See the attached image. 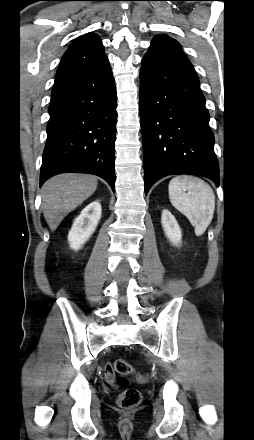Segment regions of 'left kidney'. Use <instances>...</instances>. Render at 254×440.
<instances>
[{"instance_id": "obj_1", "label": "left kidney", "mask_w": 254, "mask_h": 440, "mask_svg": "<svg viewBox=\"0 0 254 440\" xmlns=\"http://www.w3.org/2000/svg\"><path fill=\"white\" fill-rule=\"evenodd\" d=\"M161 223L166 237L173 243V245L179 246L181 243L182 233L178 222L172 213L168 210H163Z\"/></svg>"}]
</instances>
